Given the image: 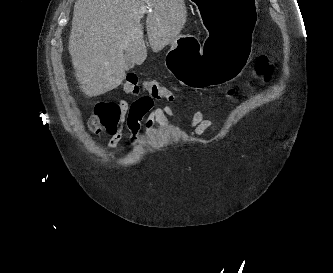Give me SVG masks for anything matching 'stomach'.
<instances>
[{"mask_svg":"<svg viewBox=\"0 0 333 273\" xmlns=\"http://www.w3.org/2000/svg\"><path fill=\"white\" fill-rule=\"evenodd\" d=\"M205 30L203 49L197 53V40L178 35L170 43L168 67L185 86L207 89L221 81H235L243 65L251 60V39L255 23L256 0H191Z\"/></svg>","mask_w":333,"mask_h":273,"instance_id":"1","label":"stomach"}]
</instances>
